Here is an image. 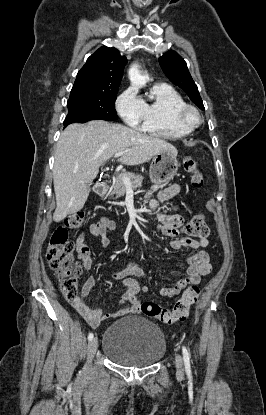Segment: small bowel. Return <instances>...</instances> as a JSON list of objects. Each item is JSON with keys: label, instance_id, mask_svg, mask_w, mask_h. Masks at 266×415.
I'll list each match as a JSON object with an SVG mask.
<instances>
[{"label": "small bowel", "instance_id": "c3829d8e", "mask_svg": "<svg viewBox=\"0 0 266 415\" xmlns=\"http://www.w3.org/2000/svg\"><path fill=\"white\" fill-rule=\"evenodd\" d=\"M181 191L179 184H172L166 188L161 189L160 185H155L147 193L149 199V206L153 211L158 230L166 236L177 237L179 229L183 225V217L178 213H163L159 211V202L167 201L177 196ZM116 225L108 220L101 219L98 222L91 224L89 231L95 236L101 238L103 247H108L110 244L106 234L110 230H114ZM175 250L184 247L197 250V252L185 259L187 267L185 269V276L179 279L173 286L164 287L160 294L164 297L172 298L178 295L188 285L198 284L201 276L207 275L212 270L210 257L205 248L208 245L207 239H193L189 237L175 238L170 243ZM77 257L87 270H91L93 266V259L88 245L85 243V234H81L76 242ZM112 276L115 279L122 280L125 287L121 307L111 313H104L102 308H93L87 301L86 297L95 284V277L90 276L83 284L82 292L79 297L71 302L72 306L84 317L92 328H97L103 320L118 318L125 315L136 314L141 311V303L138 298L140 287L133 277L146 278L144 270L134 262H129L126 268L119 271H114ZM144 293L148 292V287L143 286L141 289Z\"/></svg>", "mask_w": 266, "mask_h": 415}]
</instances>
